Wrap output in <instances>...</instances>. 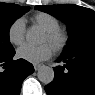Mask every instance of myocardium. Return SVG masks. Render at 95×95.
Returning a JSON list of instances; mask_svg holds the SVG:
<instances>
[{"label": "myocardium", "mask_w": 95, "mask_h": 95, "mask_svg": "<svg viewBox=\"0 0 95 95\" xmlns=\"http://www.w3.org/2000/svg\"><path fill=\"white\" fill-rule=\"evenodd\" d=\"M45 34L54 52L60 53L66 48L69 41V36L66 31L57 28L45 31Z\"/></svg>", "instance_id": "f54148a6"}]
</instances>
